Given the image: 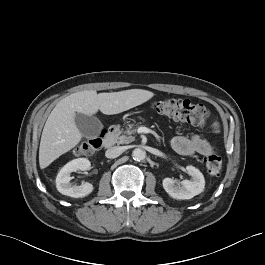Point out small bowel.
<instances>
[{
    "label": "small bowel",
    "instance_id": "c3829d8e",
    "mask_svg": "<svg viewBox=\"0 0 265 265\" xmlns=\"http://www.w3.org/2000/svg\"><path fill=\"white\" fill-rule=\"evenodd\" d=\"M218 128V123L214 122L212 124V131L217 132ZM170 146L176 153L183 156H190L193 154L208 156L214 151V147L198 135L191 137H174L170 141Z\"/></svg>",
    "mask_w": 265,
    "mask_h": 265
}]
</instances>
